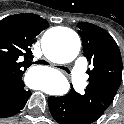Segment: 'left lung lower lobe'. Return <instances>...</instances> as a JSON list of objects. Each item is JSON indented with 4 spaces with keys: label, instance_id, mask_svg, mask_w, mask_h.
I'll list each match as a JSON object with an SVG mask.
<instances>
[{
    "label": "left lung lower lobe",
    "instance_id": "left-lung-lower-lobe-1",
    "mask_svg": "<svg viewBox=\"0 0 124 124\" xmlns=\"http://www.w3.org/2000/svg\"><path fill=\"white\" fill-rule=\"evenodd\" d=\"M51 115L59 124H85L80 116L74 98V89L62 97H49Z\"/></svg>",
    "mask_w": 124,
    "mask_h": 124
}]
</instances>
